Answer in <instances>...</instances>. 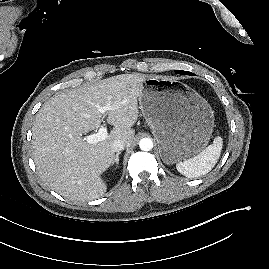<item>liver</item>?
I'll list each match as a JSON object with an SVG mask.
<instances>
[{
    "instance_id": "6515ba94",
    "label": "liver",
    "mask_w": 269,
    "mask_h": 269,
    "mask_svg": "<svg viewBox=\"0 0 269 269\" xmlns=\"http://www.w3.org/2000/svg\"><path fill=\"white\" fill-rule=\"evenodd\" d=\"M148 76L121 74L87 87L58 93L46 101L32 126L33 159L42 181L71 201L100 198L107 190L101 175L114 162L111 146L123 140L130 146L138 119V97ZM109 107L107 122L113 125L108 137L87 143L82 134L98 127V107Z\"/></svg>"
}]
</instances>
